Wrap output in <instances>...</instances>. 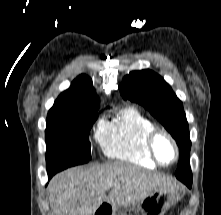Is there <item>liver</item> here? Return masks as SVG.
I'll return each instance as SVG.
<instances>
[{
    "mask_svg": "<svg viewBox=\"0 0 221 215\" xmlns=\"http://www.w3.org/2000/svg\"><path fill=\"white\" fill-rule=\"evenodd\" d=\"M179 188L172 177L114 162L71 168L55 175L48 196L55 215H92L103 202L117 209L135 204L154 191Z\"/></svg>",
    "mask_w": 221,
    "mask_h": 215,
    "instance_id": "6515ba94",
    "label": "liver"
}]
</instances>
